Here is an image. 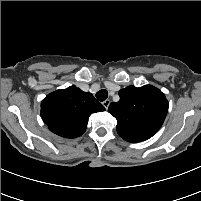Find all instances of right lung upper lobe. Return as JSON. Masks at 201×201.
Segmentation results:
<instances>
[{
	"label": "right lung upper lobe",
	"instance_id": "cb5924a9",
	"mask_svg": "<svg viewBox=\"0 0 201 201\" xmlns=\"http://www.w3.org/2000/svg\"><path fill=\"white\" fill-rule=\"evenodd\" d=\"M91 93L70 86L48 94L41 103V117L50 131L65 137L81 136L92 113L104 111Z\"/></svg>",
	"mask_w": 201,
	"mask_h": 201
}]
</instances>
